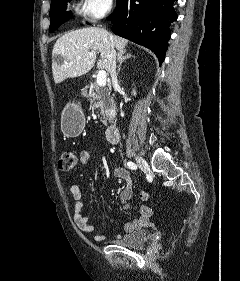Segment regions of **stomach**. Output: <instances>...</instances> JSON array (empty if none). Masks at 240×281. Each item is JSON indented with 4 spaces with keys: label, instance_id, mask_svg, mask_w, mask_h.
I'll return each instance as SVG.
<instances>
[{
    "label": "stomach",
    "instance_id": "stomach-1",
    "mask_svg": "<svg viewBox=\"0 0 240 281\" xmlns=\"http://www.w3.org/2000/svg\"><path fill=\"white\" fill-rule=\"evenodd\" d=\"M85 117L79 104L69 103L61 114V130L68 137L78 136L84 129Z\"/></svg>",
    "mask_w": 240,
    "mask_h": 281
}]
</instances>
